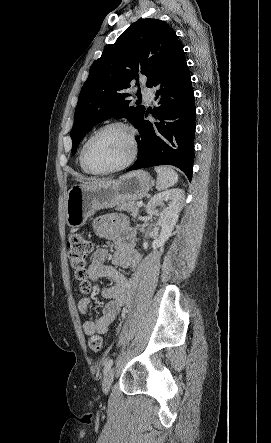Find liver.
Returning a JSON list of instances; mask_svg holds the SVG:
<instances>
[{
    "label": "liver",
    "instance_id": "6515ba94",
    "mask_svg": "<svg viewBox=\"0 0 271 443\" xmlns=\"http://www.w3.org/2000/svg\"><path fill=\"white\" fill-rule=\"evenodd\" d=\"M83 184H98V182H82V186Z\"/></svg>",
    "mask_w": 271,
    "mask_h": 443
}]
</instances>
